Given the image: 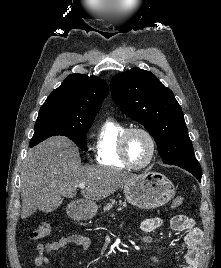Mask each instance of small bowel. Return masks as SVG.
<instances>
[{
	"instance_id": "c3829d8e",
	"label": "small bowel",
	"mask_w": 221,
	"mask_h": 268,
	"mask_svg": "<svg viewBox=\"0 0 221 268\" xmlns=\"http://www.w3.org/2000/svg\"><path fill=\"white\" fill-rule=\"evenodd\" d=\"M171 228L174 231H187L180 248L186 251V264L183 268H197L201 245L203 240V233L200 229L195 227V222L192 218L186 215H176L171 219ZM162 220L160 218H148L142 221L141 228L146 233H151L161 227ZM91 238L79 234H71L61 237L46 244H38L36 249L38 252L35 258L36 266H44L49 263L47 254L65 249L68 245L74 244L83 250H87L91 246Z\"/></svg>"
}]
</instances>
